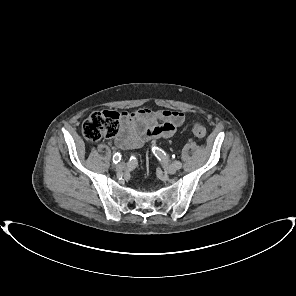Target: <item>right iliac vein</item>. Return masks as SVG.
Returning <instances> with one entry per match:
<instances>
[{"label":"right iliac vein","instance_id":"obj_1","mask_svg":"<svg viewBox=\"0 0 296 296\" xmlns=\"http://www.w3.org/2000/svg\"><path fill=\"white\" fill-rule=\"evenodd\" d=\"M125 167H126L125 163H120L117 165L116 169L118 171H123L125 169Z\"/></svg>","mask_w":296,"mask_h":296}]
</instances>
